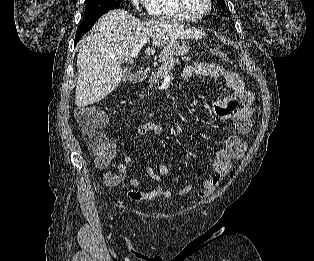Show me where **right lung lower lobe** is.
<instances>
[{"label":"right lung lower lobe","mask_w":314,"mask_h":261,"mask_svg":"<svg viewBox=\"0 0 314 261\" xmlns=\"http://www.w3.org/2000/svg\"><path fill=\"white\" fill-rule=\"evenodd\" d=\"M96 21H97V19L91 23H88V24H81V26L78 28V30L76 32L74 44H77V42L83 36V34L86 33L88 30H90Z\"/></svg>","instance_id":"right-lung-lower-lobe-1"}]
</instances>
